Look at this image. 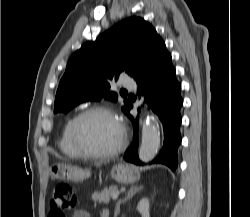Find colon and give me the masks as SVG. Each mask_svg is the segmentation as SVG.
<instances>
[{
  "instance_id": "obj_1",
  "label": "colon",
  "mask_w": 250,
  "mask_h": 217,
  "mask_svg": "<svg viewBox=\"0 0 250 217\" xmlns=\"http://www.w3.org/2000/svg\"><path fill=\"white\" fill-rule=\"evenodd\" d=\"M76 198L72 187L67 183L57 184L51 195L48 217H67L70 210L75 207Z\"/></svg>"
}]
</instances>
